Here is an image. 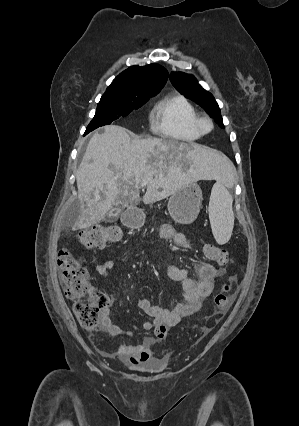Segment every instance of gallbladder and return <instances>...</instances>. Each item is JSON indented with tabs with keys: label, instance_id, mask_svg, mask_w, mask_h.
<instances>
[{
	"label": "gallbladder",
	"instance_id": "obj_1",
	"mask_svg": "<svg viewBox=\"0 0 299 426\" xmlns=\"http://www.w3.org/2000/svg\"><path fill=\"white\" fill-rule=\"evenodd\" d=\"M121 212V208L112 209L109 214L106 216L107 221H114L118 218L119 213Z\"/></svg>",
	"mask_w": 299,
	"mask_h": 426
}]
</instances>
